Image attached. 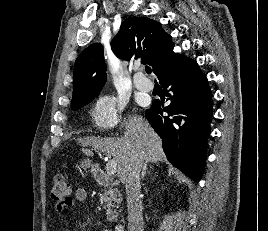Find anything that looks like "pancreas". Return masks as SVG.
Returning <instances> with one entry per match:
<instances>
[{
    "label": "pancreas",
    "instance_id": "obj_1",
    "mask_svg": "<svg viewBox=\"0 0 268 231\" xmlns=\"http://www.w3.org/2000/svg\"><path fill=\"white\" fill-rule=\"evenodd\" d=\"M100 202L103 208L106 209L107 219L110 222H116L118 217L117 209L120 207V198L117 195V190L111 187H104L100 194Z\"/></svg>",
    "mask_w": 268,
    "mask_h": 231
}]
</instances>
